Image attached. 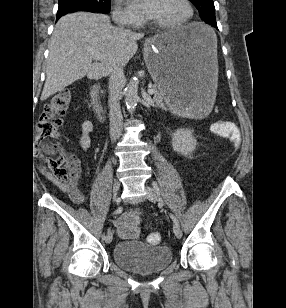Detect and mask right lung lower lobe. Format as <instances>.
<instances>
[{"mask_svg": "<svg viewBox=\"0 0 286 308\" xmlns=\"http://www.w3.org/2000/svg\"><path fill=\"white\" fill-rule=\"evenodd\" d=\"M75 11H89V12H98V13H108V12L102 11L100 9H93V8L71 9V10L58 11L57 12V19H59L61 16H63L66 13L75 12Z\"/></svg>", "mask_w": 286, "mask_h": 308, "instance_id": "1", "label": "right lung lower lobe"}]
</instances>
